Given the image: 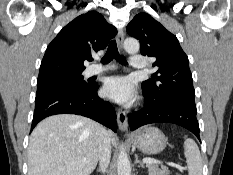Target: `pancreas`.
<instances>
[{"mask_svg": "<svg viewBox=\"0 0 233 175\" xmlns=\"http://www.w3.org/2000/svg\"><path fill=\"white\" fill-rule=\"evenodd\" d=\"M149 175H168L169 170L167 167L161 166L159 168L156 164H147Z\"/></svg>", "mask_w": 233, "mask_h": 175, "instance_id": "1", "label": "pancreas"}]
</instances>
